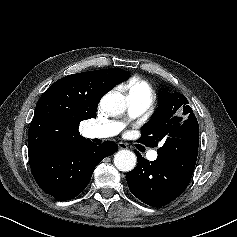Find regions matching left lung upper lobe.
<instances>
[{
  "label": "left lung upper lobe",
  "instance_id": "1",
  "mask_svg": "<svg viewBox=\"0 0 237 237\" xmlns=\"http://www.w3.org/2000/svg\"><path fill=\"white\" fill-rule=\"evenodd\" d=\"M160 105L141 128L138 142L149 147L163 144L157 153L177 154L199 141V125L187 98L180 93L162 92Z\"/></svg>",
  "mask_w": 237,
  "mask_h": 237
}]
</instances>
